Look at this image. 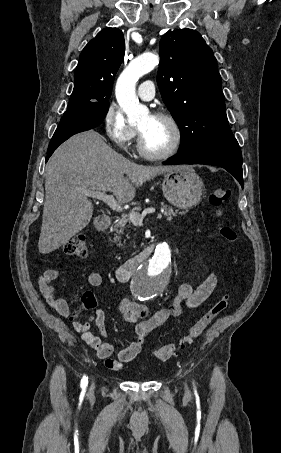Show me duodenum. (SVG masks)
Instances as JSON below:
<instances>
[{
  "instance_id": "1",
  "label": "duodenum",
  "mask_w": 281,
  "mask_h": 453,
  "mask_svg": "<svg viewBox=\"0 0 281 453\" xmlns=\"http://www.w3.org/2000/svg\"><path fill=\"white\" fill-rule=\"evenodd\" d=\"M111 224V219L108 217H102L100 218L97 223H96V230L99 233L105 232ZM154 251V246H149L143 251H141L139 254L136 256L132 257L131 259L127 260L123 264H121L117 269H116V277L119 281L121 282H126L128 281L133 274L136 272L138 267L147 259L150 257V255Z\"/></svg>"
}]
</instances>
